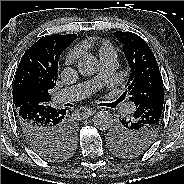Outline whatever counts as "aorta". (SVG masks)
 Returning <instances> with one entry per match:
<instances>
[{
  "label": "aorta",
  "instance_id": "obj_1",
  "mask_svg": "<svg viewBox=\"0 0 184 184\" xmlns=\"http://www.w3.org/2000/svg\"><path fill=\"white\" fill-rule=\"evenodd\" d=\"M77 69L83 76H92L99 70L96 57L86 55L78 60ZM94 126L100 130H107L113 125V115L109 111H99L93 117Z\"/></svg>",
  "mask_w": 184,
  "mask_h": 184
}]
</instances>
